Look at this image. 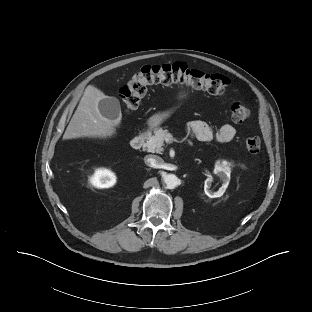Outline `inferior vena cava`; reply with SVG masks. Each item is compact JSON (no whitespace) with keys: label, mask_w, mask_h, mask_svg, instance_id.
<instances>
[{"label":"inferior vena cava","mask_w":312,"mask_h":312,"mask_svg":"<svg viewBox=\"0 0 312 312\" xmlns=\"http://www.w3.org/2000/svg\"><path fill=\"white\" fill-rule=\"evenodd\" d=\"M144 162L147 166L152 168H159L163 164V159L156 155H147L144 158Z\"/></svg>","instance_id":"602c4592"}]
</instances>
